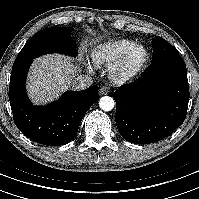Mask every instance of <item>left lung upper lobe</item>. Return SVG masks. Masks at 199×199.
I'll return each mask as SVG.
<instances>
[{
	"instance_id": "1",
	"label": "left lung upper lobe",
	"mask_w": 199,
	"mask_h": 199,
	"mask_svg": "<svg viewBox=\"0 0 199 199\" xmlns=\"http://www.w3.org/2000/svg\"><path fill=\"white\" fill-rule=\"evenodd\" d=\"M154 50L152 61L161 57L179 54L178 50L170 45L166 40L161 37H156L153 40Z\"/></svg>"
}]
</instances>
